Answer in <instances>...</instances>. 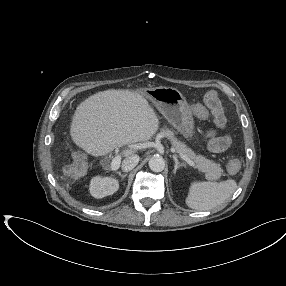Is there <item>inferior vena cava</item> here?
Masks as SVG:
<instances>
[{
    "mask_svg": "<svg viewBox=\"0 0 286 286\" xmlns=\"http://www.w3.org/2000/svg\"><path fill=\"white\" fill-rule=\"evenodd\" d=\"M139 156L138 155H129L127 156L123 161H122V165L121 168L124 172H128L131 171L134 167H136V165L139 162Z\"/></svg>",
    "mask_w": 286,
    "mask_h": 286,
    "instance_id": "obj_1",
    "label": "inferior vena cava"
}]
</instances>
